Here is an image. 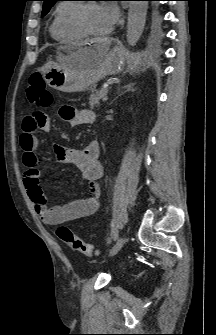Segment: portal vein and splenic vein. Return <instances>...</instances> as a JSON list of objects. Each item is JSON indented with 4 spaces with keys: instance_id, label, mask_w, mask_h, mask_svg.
<instances>
[{
    "instance_id": "portal-vein-and-splenic-vein-1",
    "label": "portal vein and splenic vein",
    "mask_w": 216,
    "mask_h": 335,
    "mask_svg": "<svg viewBox=\"0 0 216 335\" xmlns=\"http://www.w3.org/2000/svg\"><path fill=\"white\" fill-rule=\"evenodd\" d=\"M107 100H108V96L105 95V96L103 97L102 101H103V102H106Z\"/></svg>"
}]
</instances>
